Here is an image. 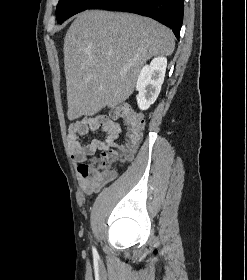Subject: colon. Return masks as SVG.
I'll return each instance as SVG.
<instances>
[{
    "mask_svg": "<svg viewBox=\"0 0 247 280\" xmlns=\"http://www.w3.org/2000/svg\"><path fill=\"white\" fill-rule=\"evenodd\" d=\"M117 115L123 119L126 126L125 144L117 145L102 153L100 157L94 158L83 165V171L94 178L109 179L113 172L111 169L112 162L122 158H128L141 141L142 131L144 129L142 116L132 111L126 105L118 109Z\"/></svg>",
    "mask_w": 247,
    "mask_h": 280,
    "instance_id": "colon-1",
    "label": "colon"
}]
</instances>
